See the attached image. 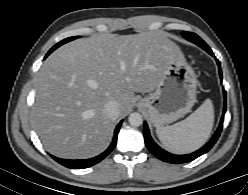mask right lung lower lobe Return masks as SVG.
I'll return each instance as SVG.
<instances>
[{"label":"right lung lower lobe","mask_w":248,"mask_h":195,"mask_svg":"<svg viewBox=\"0 0 248 195\" xmlns=\"http://www.w3.org/2000/svg\"><path fill=\"white\" fill-rule=\"evenodd\" d=\"M47 57V56H46ZM122 121L117 125L115 132H114V137L112 140V143L110 144L109 148L101 153L100 155L90 158V159H84V160H69V159H62V158H57L55 156H52V158L54 160H56L58 163H60L61 165L68 167V168H72V169H83V168H87L90 166H93L95 164H97L98 162H100L101 160H103L116 146V142H117V136H118V132L120 130Z\"/></svg>","instance_id":"obj_1"}]
</instances>
